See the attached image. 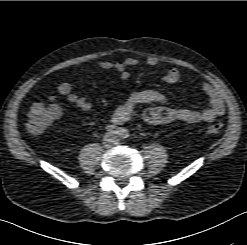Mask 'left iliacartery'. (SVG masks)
I'll return each mask as SVG.
<instances>
[{
    "mask_svg": "<svg viewBox=\"0 0 247 245\" xmlns=\"http://www.w3.org/2000/svg\"><path fill=\"white\" fill-rule=\"evenodd\" d=\"M119 135H120L121 138H127L128 137V132H127L126 129H121Z\"/></svg>",
    "mask_w": 247,
    "mask_h": 245,
    "instance_id": "44dca946",
    "label": "left iliac artery"
}]
</instances>
